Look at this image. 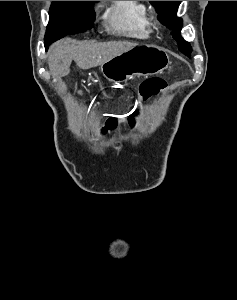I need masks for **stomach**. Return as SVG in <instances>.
<instances>
[{
  "mask_svg": "<svg viewBox=\"0 0 237 300\" xmlns=\"http://www.w3.org/2000/svg\"><path fill=\"white\" fill-rule=\"evenodd\" d=\"M169 57L161 47L138 45L130 51L120 53L101 65L103 77L112 83H124L134 75H159L169 67Z\"/></svg>",
  "mask_w": 237,
  "mask_h": 300,
  "instance_id": "obj_1",
  "label": "stomach"
}]
</instances>
